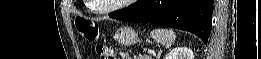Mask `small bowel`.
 Returning a JSON list of instances; mask_svg holds the SVG:
<instances>
[{
    "label": "small bowel",
    "mask_w": 261,
    "mask_h": 59,
    "mask_svg": "<svg viewBox=\"0 0 261 59\" xmlns=\"http://www.w3.org/2000/svg\"><path fill=\"white\" fill-rule=\"evenodd\" d=\"M121 58H123V59H130V56L127 53H122Z\"/></svg>",
    "instance_id": "c3829d8e"
}]
</instances>
